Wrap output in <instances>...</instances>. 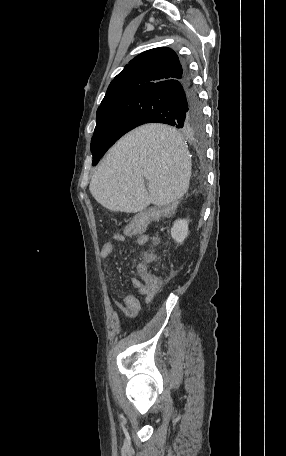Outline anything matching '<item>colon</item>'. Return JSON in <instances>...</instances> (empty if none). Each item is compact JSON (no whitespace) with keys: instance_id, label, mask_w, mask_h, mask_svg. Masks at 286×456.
Returning a JSON list of instances; mask_svg holds the SVG:
<instances>
[{"instance_id":"obj_1","label":"colon","mask_w":286,"mask_h":456,"mask_svg":"<svg viewBox=\"0 0 286 456\" xmlns=\"http://www.w3.org/2000/svg\"><path fill=\"white\" fill-rule=\"evenodd\" d=\"M150 218V214L135 217L127 226L126 233L136 234L143 232ZM154 258V254H148L145 256L147 261L154 260ZM134 280L138 286H142L150 291H157L162 286V279L149 273L144 264H140L136 267Z\"/></svg>"}]
</instances>
